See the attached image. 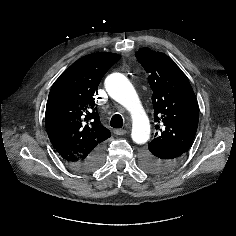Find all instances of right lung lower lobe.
Returning <instances> with one entry per match:
<instances>
[{
    "label": "right lung lower lobe",
    "mask_w": 236,
    "mask_h": 236,
    "mask_svg": "<svg viewBox=\"0 0 236 236\" xmlns=\"http://www.w3.org/2000/svg\"><path fill=\"white\" fill-rule=\"evenodd\" d=\"M62 160L72 169L79 172H92L98 169L104 161V148L99 146L87 158L81 160Z\"/></svg>",
    "instance_id": "98d812e1"
}]
</instances>
